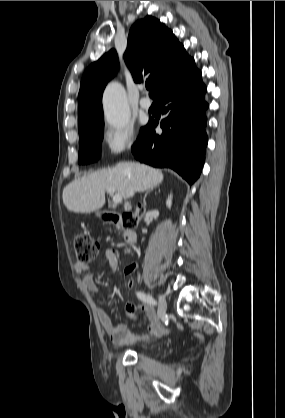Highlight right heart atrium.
Listing matches in <instances>:
<instances>
[{
  "mask_svg": "<svg viewBox=\"0 0 285 418\" xmlns=\"http://www.w3.org/2000/svg\"><path fill=\"white\" fill-rule=\"evenodd\" d=\"M103 144L110 156L129 151L135 143V132L131 126L124 128L107 127L103 133Z\"/></svg>",
  "mask_w": 285,
  "mask_h": 418,
  "instance_id": "obj_1",
  "label": "right heart atrium"
}]
</instances>
